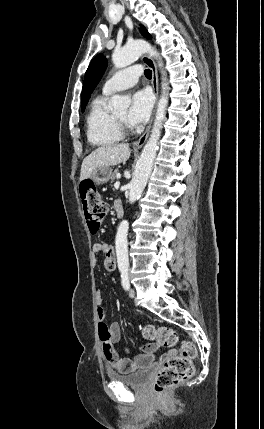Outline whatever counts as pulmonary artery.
<instances>
[{
	"label": "pulmonary artery",
	"instance_id": "pulmonary-artery-1",
	"mask_svg": "<svg viewBox=\"0 0 264 429\" xmlns=\"http://www.w3.org/2000/svg\"><path fill=\"white\" fill-rule=\"evenodd\" d=\"M140 75L141 68L139 66L125 68L114 74L104 83L102 92L103 94L110 95L130 88L138 82Z\"/></svg>",
	"mask_w": 264,
	"mask_h": 429
}]
</instances>
